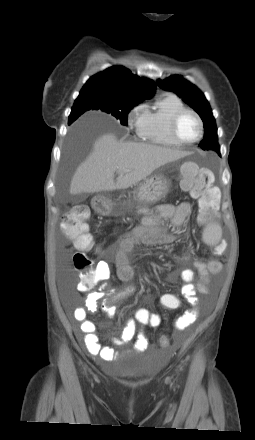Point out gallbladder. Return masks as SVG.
I'll list each match as a JSON object with an SVG mask.
<instances>
[{
    "instance_id": "obj_1",
    "label": "gallbladder",
    "mask_w": 255,
    "mask_h": 440,
    "mask_svg": "<svg viewBox=\"0 0 255 440\" xmlns=\"http://www.w3.org/2000/svg\"><path fill=\"white\" fill-rule=\"evenodd\" d=\"M85 199H86V196H85V195L79 194V195H77V196L75 197L74 201H75V202H82V201H84Z\"/></svg>"
}]
</instances>
